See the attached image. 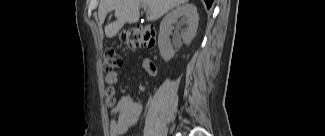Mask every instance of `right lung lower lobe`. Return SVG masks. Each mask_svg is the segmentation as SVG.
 I'll use <instances>...</instances> for the list:
<instances>
[{
  "mask_svg": "<svg viewBox=\"0 0 325 136\" xmlns=\"http://www.w3.org/2000/svg\"><path fill=\"white\" fill-rule=\"evenodd\" d=\"M206 5H207V8L209 9L213 3V0H204Z\"/></svg>",
  "mask_w": 325,
  "mask_h": 136,
  "instance_id": "1",
  "label": "right lung lower lobe"
}]
</instances>
